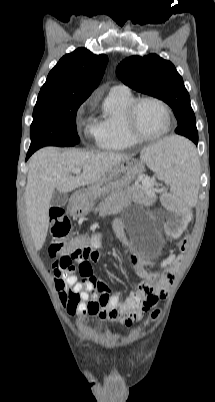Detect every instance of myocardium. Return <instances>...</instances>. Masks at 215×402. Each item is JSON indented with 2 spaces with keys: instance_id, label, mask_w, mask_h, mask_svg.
<instances>
[{
  "instance_id": "obj_1",
  "label": "myocardium",
  "mask_w": 215,
  "mask_h": 402,
  "mask_svg": "<svg viewBox=\"0 0 215 402\" xmlns=\"http://www.w3.org/2000/svg\"><path fill=\"white\" fill-rule=\"evenodd\" d=\"M144 102H154L161 106L167 116V126L165 130L157 135H146L142 133L137 125V113L138 109L143 104ZM172 122H173V117H172V111L169 107V105L163 101L160 98L154 97V96H144V97H139L134 99L128 106L125 114V123H126V128L129 133V135L139 141V142H146V141H156L159 140L169 134L172 128Z\"/></svg>"
}]
</instances>
